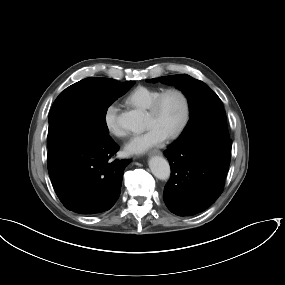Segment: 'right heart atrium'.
<instances>
[{"label": "right heart atrium", "instance_id": "right-heart-atrium-1", "mask_svg": "<svg viewBox=\"0 0 285 285\" xmlns=\"http://www.w3.org/2000/svg\"><path fill=\"white\" fill-rule=\"evenodd\" d=\"M119 108L115 103L106 106L104 110V123L108 132L118 138H124L127 134L119 123Z\"/></svg>", "mask_w": 285, "mask_h": 285}]
</instances>
